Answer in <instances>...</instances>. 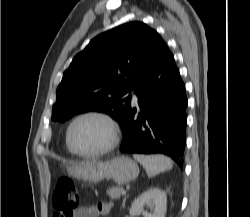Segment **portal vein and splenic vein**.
I'll return each mask as SVG.
<instances>
[{
    "label": "portal vein and splenic vein",
    "mask_w": 250,
    "mask_h": 217,
    "mask_svg": "<svg viewBox=\"0 0 250 217\" xmlns=\"http://www.w3.org/2000/svg\"><path fill=\"white\" fill-rule=\"evenodd\" d=\"M121 193H122V195H125V194H126V191H125V190H122Z\"/></svg>",
    "instance_id": "obj_1"
}]
</instances>
